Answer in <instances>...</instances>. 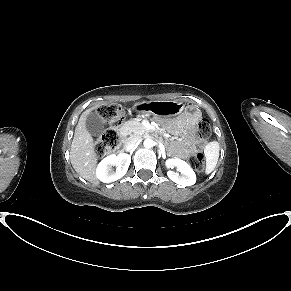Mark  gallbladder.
Returning <instances> with one entry per match:
<instances>
[{"label":"gallbladder","mask_w":291,"mask_h":291,"mask_svg":"<svg viewBox=\"0 0 291 291\" xmlns=\"http://www.w3.org/2000/svg\"><path fill=\"white\" fill-rule=\"evenodd\" d=\"M88 132L93 136H99L105 129V122L97 112L90 113L85 122Z\"/></svg>","instance_id":"1"}]
</instances>
